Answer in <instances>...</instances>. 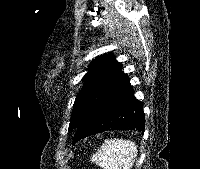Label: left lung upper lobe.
Instances as JSON below:
<instances>
[{
	"instance_id": "obj_1",
	"label": "left lung upper lobe",
	"mask_w": 200,
	"mask_h": 169,
	"mask_svg": "<svg viewBox=\"0 0 200 169\" xmlns=\"http://www.w3.org/2000/svg\"><path fill=\"white\" fill-rule=\"evenodd\" d=\"M82 80L85 81L84 87L75 99L69 131L79 126L99 100L117 90L129 78L113 55L104 54L91 63Z\"/></svg>"
}]
</instances>
